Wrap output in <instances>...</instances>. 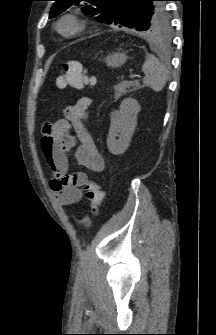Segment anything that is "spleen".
<instances>
[{
    "label": "spleen",
    "instance_id": "spleen-1",
    "mask_svg": "<svg viewBox=\"0 0 216 335\" xmlns=\"http://www.w3.org/2000/svg\"><path fill=\"white\" fill-rule=\"evenodd\" d=\"M145 73L143 83L156 92L161 91L168 80V69L154 55L147 54L142 66Z\"/></svg>",
    "mask_w": 216,
    "mask_h": 335
}]
</instances>
